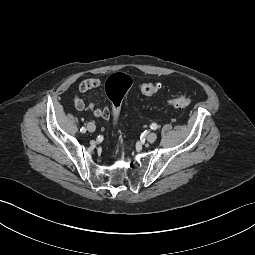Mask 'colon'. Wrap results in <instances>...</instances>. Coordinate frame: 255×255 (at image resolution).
I'll return each instance as SVG.
<instances>
[{
	"instance_id": "obj_1",
	"label": "colon",
	"mask_w": 255,
	"mask_h": 255,
	"mask_svg": "<svg viewBox=\"0 0 255 255\" xmlns=\"http://www.w3.org/2000/svg\"><path fill=\"white\" fill-rule=\"evenodd\" d=\"M131 85L132 80L130 76L125 73H115L106 81V92L112 104V120L114 124H117L121 102ZM158 90L159 87L152 83H143L139 87V91L145 96H152L156 94ZM167 103L172 107L183 109L191 105L192 99L188 96H180L169 99Z\"/></svg>"
}]
</instances>
